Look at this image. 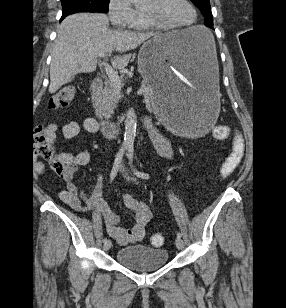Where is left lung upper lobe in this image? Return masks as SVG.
<instances>
[{
    "mask_svg": "<svg viewBox=\"0 0 286 308\" xmlns=\"http://www.w3.org/2000/svg\"><path fill=\"white\" fill-rule=\"evenodd\" d=\"M201 11L205 17L204 24L210 28H213V16L210 7L209 0H191Z\"/></svg>",
    "mask_w": 286,
    "mask_h": 308,
    "instance_id": "5c2ea615",
    "label": "left lung upper lobe"
}]
</instances>
